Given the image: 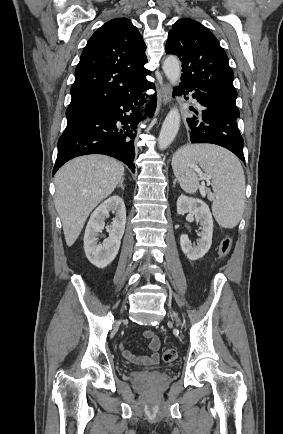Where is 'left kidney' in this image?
Returning <instances> with one entry per match:
<instances>
[{
	"label": "left kidney",
	"instance_id": "5707ae66",
	"mask_svg": "<svg viewBox=\"0 0 283 434\" xmlns=\"http://www.w3.org/2000/svg\"><path fill=\"white\" fill-rule=\"evenodd\" d=\"M177 213L184 215L191 213L196 222L201 225L200 239L197 246H192L186 234L181 235L180 245L186 257L195 261L202 258L210 249L213 235V218L208 205L201 199L181 195L177 200Z\"/></svg>",
	"mask_w": 283,
	"mask_h": 434
}]
</instances>
